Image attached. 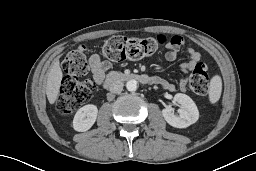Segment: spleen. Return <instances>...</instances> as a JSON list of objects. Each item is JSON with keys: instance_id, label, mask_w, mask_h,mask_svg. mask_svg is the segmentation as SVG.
<instances>
[{"instance_id": "obj_1", "label": "spleen", "mask_w": 256, "mask_h": 171, "mask_svg": "<svg viewBox=\"0 0 256 171\" xmlns=\"http://www.w3.org/2000/svg\"><path fill=\"white\" fill-rule=\"evenodd\" d=\"M222 92V80L220 76L215 75L210 82L209 86V101L212 104H215L221 96Z\"/></svg>"}]
</instances>
